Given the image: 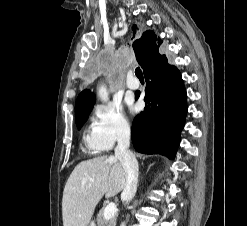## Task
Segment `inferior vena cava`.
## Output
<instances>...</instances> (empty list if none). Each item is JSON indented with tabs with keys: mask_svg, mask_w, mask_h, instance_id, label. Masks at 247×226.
<instances>
[{
	"mask_svg": "<svg viewBox=\"0 0 247 226\" xmlns=\"http://www.w3.org/2000/svg\"><path fill=\"white\" fill-rule=\"evenodd\" d=\"M130 128L124 125L117 132V146L115 158L120 161L126 173V183L122 192L126 204L135 196L138 183V162L135 155L129 150ZM121 226H125L123 222Z\"/></svg>",
	"mask_w": 247,
	"mask_h": 226,
	"instance_id": "inferior-vena-cava-1",
	"label": "inferior vena cava"
}]
</instances>
